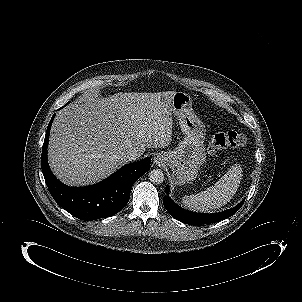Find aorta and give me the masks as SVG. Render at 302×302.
I'll use <instances>...</instances> for the list:
<instances>
[{
  "label": "aorta",
  "instance_id": "1",
  "mask_svg": "<svg viewBox=\"0 0 302 302\" xmlns=\"http://www.w3.org/2000/svg\"><path fill=\"white\" fill-rule=\"evenodd\" d=\"M149 180L153 184H161L164 181V173L160 169H153L149 172Z\"/></svg>",
  "mask_w": 302,
  "mask_h": 302
}]
</instances>
